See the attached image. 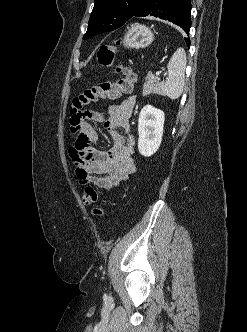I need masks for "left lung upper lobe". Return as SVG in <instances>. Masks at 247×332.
I'll return each instance as SVG.
<instances>
[{
  "label": "left lung upper lobe",
  "mask_w": 247,
  "mask_h": 332,
  "mask_svg": "<svg viewBox=\"0 0 247 332\" xmlns=\"http://www.w3.org/2000/svg\"><path fill=\"white\" fill-rule=\"evenodd\" d=\"M146 0H95L83 39L123 26Z\"/></svg>",
  "instance_id": "1"
}]
</instances>
